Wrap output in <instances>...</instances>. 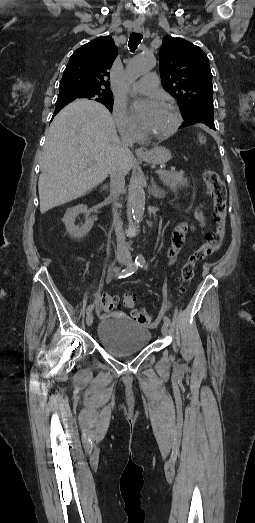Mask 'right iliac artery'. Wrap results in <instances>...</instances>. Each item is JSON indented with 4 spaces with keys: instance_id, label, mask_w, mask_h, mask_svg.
<instances>
[{
    "instance_id": "1",
    "label": "right iliac artery",
    "mask_w": 255,
    "mask_h": 523,
    "mask_svg": "<svg viewBox=\"0 0 255 523\" xmlns=\"http://www.w3.org/2000/svg\"><path fill=\"white\" fill-rule=\"evenodd\" d=\"M139 267V261H134L131 265H129L127 268L123 269L120 273H118L116 276L118 278H124L131 274H133ZM93 310V305H89L87 307V314Z\"/></svg>"
}]
</instances>
